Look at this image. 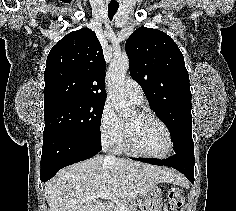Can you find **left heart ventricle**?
<instances>
[{"label": "left heart ventricle", "instance_id": "1", "mask_svg": "<svg viewBox=\"0 0 236 211\" xmlns=\"http://www.w3.org/2000/svg\"><path fill=\"white\" fill-rule=\"evenodd\" d=\"M125 122L130 127L133 141L138 149L155 155L163 154L167 150V134L157 122L141 118L136 111H133Z\"/></svg>", "mask_w": 236, "mask_h": 211}]
</instances>
